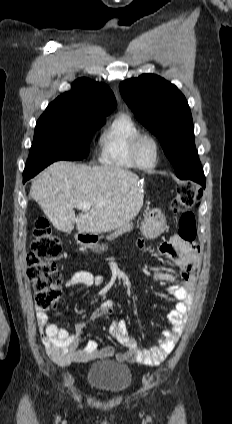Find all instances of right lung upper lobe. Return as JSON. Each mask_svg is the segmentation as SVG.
Wrapping results in <instances>:
<instances>
[{"instance_id":"obj_1","label":"right lung upper lobe","mask_w":232,"mask_h":424,"mask_svg":"<svg viewBox=\"0 0 232 424\" xmlns=\"http://www.w3.org/2000/svg\"><path fill=\"white\" fill-rule=\"evenodd\" d=\"M66 92L51 102L45 112L67 111L105 119L116 107V100L110 88L87 78H79Z\"/></svg>"}]
</instances>
